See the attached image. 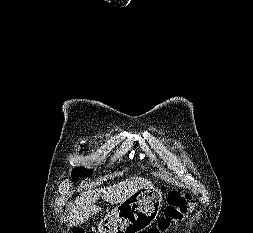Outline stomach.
<instances>
[{
  "mask_svg": "<svg viewBox=\"0 0 253 233\" xmlns=\"http://www.w3.org/2000/svg\"><path fill=\"white\" fill-rule=\"evenodd\" d=\"M163 203L162 192L153 187L138 190L99 223L100 233H141L155 222Z\"/></svg>",
  "mask_w": 253,
  "mask_h": 233,
  "instance_id": "1",
  "label": "stomach"
}]
</instances>
